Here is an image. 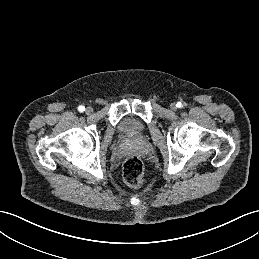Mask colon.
<instances>
[{
    "instance_id": "1",
    "label": "colon",
    "mask_w": 259,
    "mask_h": 259,
    "mask_svg": "<svg viewBox=\"0 0 259 259\" xmlns=\"http://www.w3.org/2000/svg\"><path fill=\"white\" fill-rule=\"evenodd\" d=\"M124 182L131 187H139L144 183V166L140 158L131 156L123 164Z\"/></svg>"
}]
</instances>
